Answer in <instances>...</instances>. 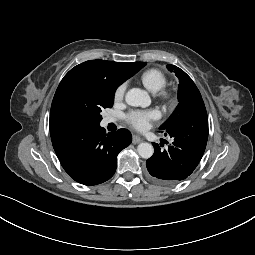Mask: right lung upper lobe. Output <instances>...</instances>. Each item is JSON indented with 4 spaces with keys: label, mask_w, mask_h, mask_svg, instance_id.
<instances>
[{
    "label": "right lung upper lobe",
    "mask_w": 255,
    "mask_h": 255,
    "mask_svg": "<svg viewBox=\"0 0 255 255\" xmlns=\"http://www.w3.org/2000/svg\"><path fill=\"white\" fill-rule=\"evenodd\" d=\"M145 62H112L105 60H89L72 68L66 75H82L101 78L118 87L140 70ZM59 124L50 122V128Z\"/></svg>",
    "instance_id": "obj_1"
}]
</instances>
